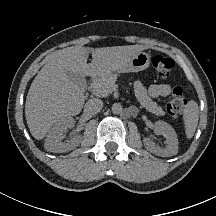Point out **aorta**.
Listing matches in <instances>:
<instances>
[{"instance_id": "aorta-1", "label": "aorta", "mask_w": 216, "mask_h": 216, "mask_svg": "<svg viewBox=\"0 0 216 216\" xmlns=\"http://www.w3.org/2000/svg\"><path fill=\"white\" fill-rule=\"evenodd\" d=\"M114 114H120L123 111L122 105L120 103H114L111 108Z\"/></svg>"}]
</instances>
